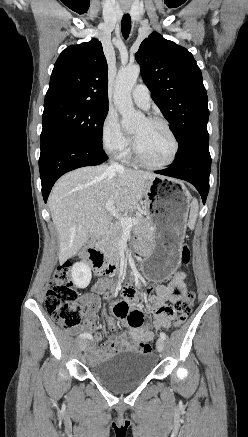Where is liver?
<instances>
[{"mask_svg": "<svg viewBox=\"0 0 248 437\" xmlns=\"http://www.w3.org/2000/svg\"><path fill=\"white\" fill-rule=\"evenodd\" d=\"M156 177L160 176L107 165L79 168L61 177L48 199L60 241L59 261L77 254L89 238L105 235L112 220L105 208L108 200L122 212L133 211Z\"/></svg>", "mask_w": 248, "mask_h": 437, "instance_id": "6515ba94", "label": "liver"}]
</instances>
